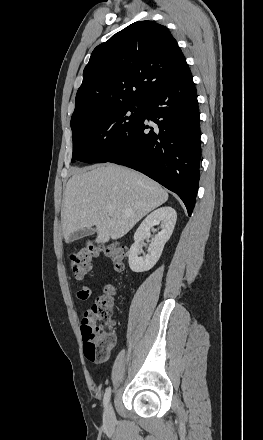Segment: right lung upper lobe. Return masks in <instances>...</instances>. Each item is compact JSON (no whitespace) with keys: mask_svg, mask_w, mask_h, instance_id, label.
<instances>
[{"mask_svg":"<svg viewBox=\"0 0 263 440\" xmlns=\"http://www.w3.org/2000/svg\"><path fill=\"white\" fill-rule=\"evenodd\" d=\"M189 68L166 27L138 21L97 46L83 71L71 128L84 116L129 103L175 82Z\"/></svg>","mask_w":263,"mask_h":440,"instance_id":"1","label":"right lung upper lobe"}]
</instances>
